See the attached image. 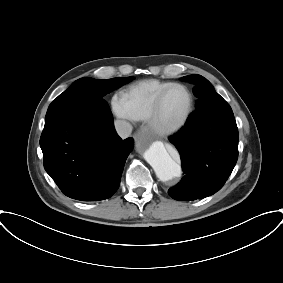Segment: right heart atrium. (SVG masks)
I'll return each mask as SVG.
<instances>
[{
  "label": "right heart atrium",
  "instance_id": "d8ad5b80",
  "mask_svg": "<svg viewBox=\"0 0 283 283\" xmlns=\"http://www.w3.org/2000/svg\"><path fill=\"white\" fill-rule=\"evenodd\" d=\"M112 110L114 114L127 122H132L134 119L131 117L123 99L120 96H114L112 99Z\"/></svg>",
  "mask_w": 283,
  "mask_h": 283
}]
</instances>
